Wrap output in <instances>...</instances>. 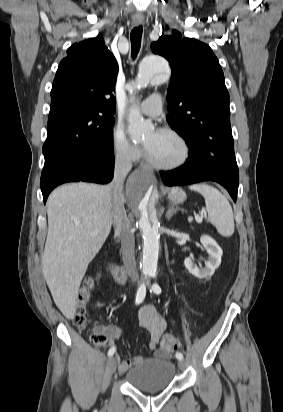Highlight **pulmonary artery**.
I'll use <instances>...</instances> for the list:
<instances>
[{"mask_svg":"<svg viewBox=\"0 0 283 412\" xmlns=\"http://www.w3.org/2000/svg\"><path fill=\"white\" fill-rule=\"evenodd\" d=\"M163 98L159 94H154L145 99L140 105V111L146 115L155 117L162 112Z\"/></svg>","mask_w":283,"mask_h":412,"instance_id":"e3ab8cb5","label":"pulmonary artery"}]
</instances>
